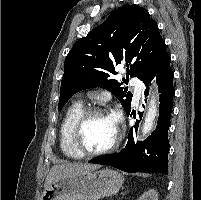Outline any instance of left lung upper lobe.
Segmentation results:
<instances>
[{
	"label": "left lung upper lobe",
	"instance_id": "obj_1",
	"mask_svg": "<svg viewBox=\"0 0 201 200\" xmlns=\"http://www.w3.org/2000/svg\"><path fill=\"white\" fill-rule=\"evenodd\" d=\"M166 52L158 26L146 9L132 4L113 11L68 53L59 110L78 91L102 87L111 91L129 112L132 94L121 87L122 82L111 78L114 66L126 63L127 76L142 80Z\"/></svg>",
	"mask_w": 201,
	"mask_h": 200
}]
</instances>
